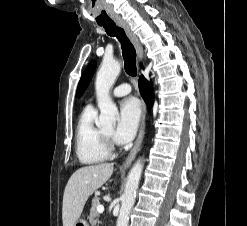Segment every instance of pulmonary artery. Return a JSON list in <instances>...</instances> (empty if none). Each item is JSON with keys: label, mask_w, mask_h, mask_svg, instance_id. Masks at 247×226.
I'll use <instances>...</instances> for the list:
<instances>
[{"label": "pulmonary artery", "mask_w": 247, "mask_h": 226, "mask_svg": "<svg viewBox=\"0 0 247 226\" xmlns=\"http://www.w3.org/2000/svg\"><path fill=\"white\" fill-rule=\"evenodd\" d=\"M131 92V86L128 83H122L113 89L112 94L115 97H122Z\"/></svg>", "instance_id": "e3ab8cb5"}]
</instances>
